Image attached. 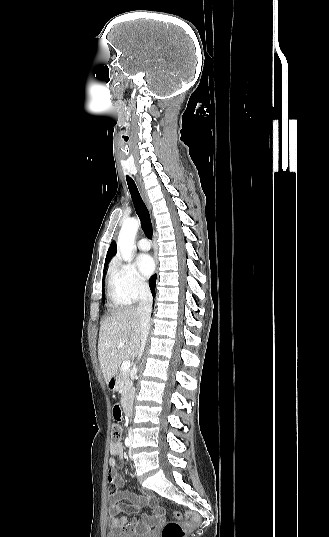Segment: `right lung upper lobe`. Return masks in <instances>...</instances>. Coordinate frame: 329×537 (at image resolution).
<instances>
[{"label":"right lung upper lobe","mask_w":329,"mask_h":537,"mask_svg":"<svg viewBox=\"0 0 329 537\" xmlns=\"http://www.w3.org/2000/svg\"><path fill=\"white\" fill-rule=\"evenodd\" d=\"M114 254H115V248H114V242H112L110 247H109V249H108L107 255H106L104 269L107 268L111 258L114 256Z\"/></svg>","instance_id":"right-lung-upper-lobe-1"}]
</instances>
